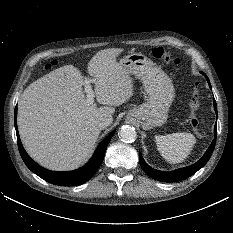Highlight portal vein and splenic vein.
<instances>
[{"mask_svg": "<svg viewBox=\"0 0 233 233\" xmlns=\"http://www.w3.org/2000/svg\"><path fill=\"white\" fill-rule=\"evenodd\" d=\"M90 82L91 80H86L84 90L87 94V103L93 104L94 103V92L91 88Z\"/></svg>", "mask_w": 233, "mask_h": 233, "instance_id": "portal-vein-and-splenic-vein-1", "label": "portal vein and splenic vein"}]
</instances>
